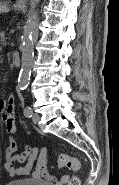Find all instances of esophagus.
<instances>
[{"label": "esophagus", "mask_w": 119, "mask_h": 185, "mask_svg": "<svg viewBox=\"0 0 119 185\" xmlns=\"http://www.w3.org/2000/svg\"><path fill=\"white\" fill-rule=\"evenodd\" d=\"M27 0H17L16 4L19 5V4H24Z\"/></svg>", "instance_id": "esophagus-1"}]
</instances>
